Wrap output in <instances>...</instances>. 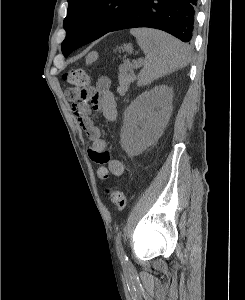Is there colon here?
<instances>
[{"label": "colon", "instance_id": "1", "mask_svg": "<svg viewBox=\"0 0 245 300\" xmlns=\"http://www.w3.org/2000/svg\"><path fill=\"white\" fill-rule=\"evenodd\" d=\"M63 79L70 84V87L65 91V95L71 102L78 101L90 82L88 73L80 68L71 69L63 76ZM106 193L110 196L117 211H122L125 208L126 197L122 191L107 187Z\"/></svg>", "mask_w": 245, "mask_h": 300}]
</instances>
